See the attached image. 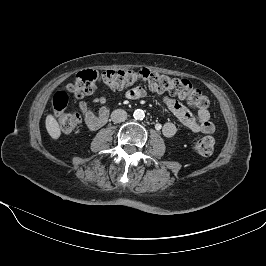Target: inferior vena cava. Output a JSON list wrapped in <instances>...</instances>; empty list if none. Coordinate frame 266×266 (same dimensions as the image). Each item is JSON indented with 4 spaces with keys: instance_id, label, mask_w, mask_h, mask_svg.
I'll list each match as a JSON object with an SVG mask.
<instances>
[{
    "instance_id": "602c4592",
    "label": "inferior vena cava",
    "mask_w": 266,
    "mask_h": 266,
    "mask_svg": "<svg viewBox=\"0 0 266 266\" xmlns=\"http://www.w3.org/2000/svg\"><path fill=\"white\" fill-rule=\"evenodd\" d=\"M111 119L114 123H120L127 119V112L122 109H116L111 113Z\"/></svg>"
}]
</instances>
